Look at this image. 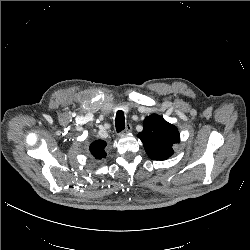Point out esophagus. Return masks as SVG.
I'll return each mask as SVG.
<instances>
[{
	"label": "esophagus",
	"instance_id": "34e87169",
	"mask_svg": "<svg viewBox=\"0 0 250 250\" xmlns=\"http://www.w3.org/2000/svg\"><path fill=\"white\" fill-rule=\"evenodd\" d=\"M131 131H132V126H131L130 124H128V125L126 126L125 130L122 131V132L120 133V135L128 134V133H130Z\"/></svg>",
	"mask_w": 250,
	"mask_h": 250
}]
</instances>
